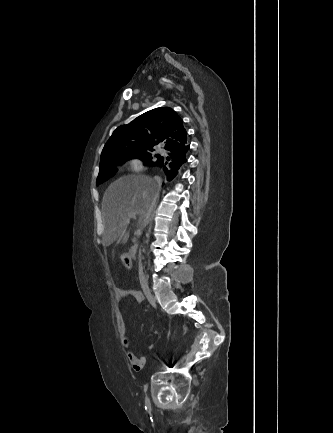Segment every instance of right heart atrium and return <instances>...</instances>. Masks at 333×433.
I'll use <instances>...</instances> for the list:
<instances>
[{"label":"right heart atrium","instance_id":"1","mask_svg":"<svg viewBox=\"0 0 333 433\" xmlns=\"http://www.w3.org/2000/svg\"><path fill=\"white\" fill-rule=\"evenodd\" d=\"M128 169L132 173H140L145 169L144 161L138 157L130 158L128 162Z\"/></svg>","mask_w":333,"mask_h":433}]
</instances>
